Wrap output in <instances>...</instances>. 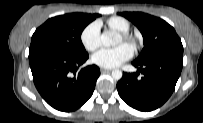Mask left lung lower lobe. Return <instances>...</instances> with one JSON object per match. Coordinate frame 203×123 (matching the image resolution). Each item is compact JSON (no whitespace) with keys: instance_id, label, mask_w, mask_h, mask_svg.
I'll return each instance as SVG.
<instances>
[{"instance_id":"obj_1","label":"left lung lower lobe","mask_w":203,"mask_h":123,"mask_svg":"<svg viewBox=\"0 0 203 123\" xmlns=\"http://www.w3.org/2000/svg\"><path fill=\"white\" fill-rule=\"evenodd\" d=\"M136 73H123L117 83L119 96L132 108L148 112L159 108L171 96L183 66V55H166L132 63ZM143 77L139 78V73Z\"/></svg>"}]
</instances>
